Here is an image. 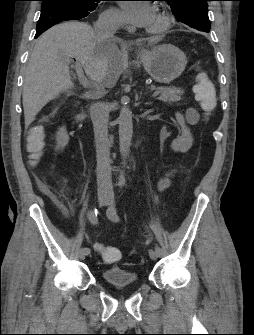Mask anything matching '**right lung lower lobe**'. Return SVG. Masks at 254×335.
Masks as SVG:
<instances>
[{"label": "right lung lower lobe", "instance_id": "1", "mask_svg": "<svg viewBox=\"0 0 254 335\" xmlns=\"http://www.w3.org/2000/svg\"><path fill=\"white\" fill-rule=\"evenodd\" d=\"M90 12H84L75 9L69 5H48L41 9V15L37 23L35 38L42 34L51 26L68 20H79L89 15Z\"/></svg>", "mask_w": 254, "mask_h": 335}]
</instances>
